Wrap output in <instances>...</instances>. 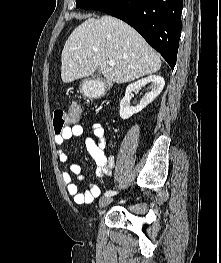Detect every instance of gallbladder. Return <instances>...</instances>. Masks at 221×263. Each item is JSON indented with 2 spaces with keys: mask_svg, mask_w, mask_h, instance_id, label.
<instances>
[{
  "mask_svg": "<svg viewBox=\"0 0 221 263\" xmlns=\"http://www.w3.org/2000/svg\"><path fill=\"white\" fill-rule=\"evenodd\" d=\"M101 77V72L99 69H97L93 74H92V78L93 79H100Z\"/></svg>",
  "mask_w": 221,
  "mask_h": 263,
  "instance_id": "bac80fb5",
  "label": "gallbladder"
}]
</instances>
